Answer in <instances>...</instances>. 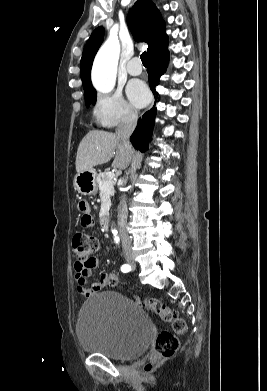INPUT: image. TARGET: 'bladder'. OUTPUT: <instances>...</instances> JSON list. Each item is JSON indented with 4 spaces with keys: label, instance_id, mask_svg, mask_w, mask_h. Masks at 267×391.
Masks as SVG:
<instances>
[{
    "label": "bladder",
    "instance_id": "obj_1",
    "mask_svg": "<svg viewBox=\"0 0 267 391\" xmlns=\"http://www.w3.org/2000/svg\"><path fill=\"white\" fill-rule=\"evenodd\" d=\"M76 334L84 351L128 360L147 349L153 324L136 302L119 292L106 291L81 306Z\"/></svg>",
    "mask_w": 267,
    "mask_h": 391
}]
</instances>
